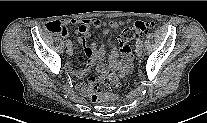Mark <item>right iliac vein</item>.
<instances>
[{"instance_id":"63e3f726","label":"right iliac vein","mask_w":207,"mask_h":123,"mask_svg":"<svg viewBox=\"0 0 207 123\" xmlns=\"http://www.w3.org/2000/svg\"><path fill=\"white\" fill-rule=\"evenodd\" d=\"M67 54L68 55H72L73 54V49H72L71 46H68V48H67Z\"/></svg>"}]
</instances>
